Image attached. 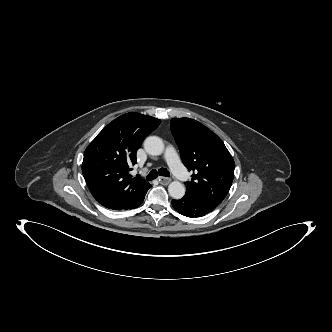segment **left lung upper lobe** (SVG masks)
<instances>
[{
	"instance_id": "obj_1",
	"label": "left lung upper lobe",
	"mask_w": 332,
	"mask_h": 332,
	"mask_svg": "<svg viewBox=\"0 0 332 332\" xmlns=\"http://www.w3.org/2000/svg\"><path fill=\"white\" fill-rule=\"evenodd\" d=\"M171 132L182 161L192 171L186 194L216 208L227 195L235 163L222 140L200 122L190 118L171 120Z\"/></svg>"
}]
</instances>
